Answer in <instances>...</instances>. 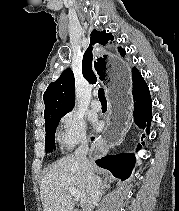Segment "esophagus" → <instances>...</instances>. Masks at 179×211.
<instances>
[{
    "instance_id": "34e87169",
    "label": "esophagus",
    "mask_w": 179,
    "mask_h": 211,
    "mask_svg": "<svg viewBox=\"0 0 179 211\" xmlns=\"http://www.w3.org/2000/svg\"><path fill=\"white\" fill-rule=\"evenodd\" d=\"M96 61L94 69L98 79L105 82L108 94L106 128L101 133L99 144H94L93 159H101L105 149H112V145H119L123 134L128 130V120L132 108L130 98L131 82L128 77V64H123L121 56H104V52H95Z\"/></svg>"
}]
</instances>
